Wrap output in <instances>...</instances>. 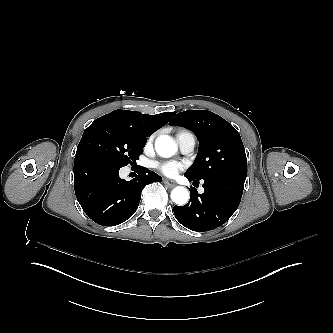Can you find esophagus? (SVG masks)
<instances>
[{"label":"esophagus","mask_w":333,"mask_h":333,"mask_svg":"<svg viewBox=\"0 0 333 333\" xmlns=\"http://www.w3.org/2000/svg\"><path fill=\"white\" fill-rule=\"evenodd\" d=\"M164 183L167 184L171 188L176 185V182L174 180H169V179H165Z\"/></svg>","instance_id":"esophagus-1"}]
</instances>
